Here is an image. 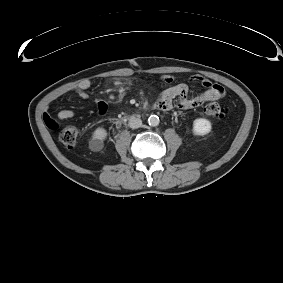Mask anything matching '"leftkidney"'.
I'll return each mask as SVG.
<instances>
[{
    "mask_svg": "<svg viewBox=\"0 0 283 283\" xmlns=\"http://www.w3.org/2000/svg\"><path fill=\"white\" fill-rule=\"evenodd\" d=\"M211 122L205 118H197L193 122V132L196 135H206L211 131Z\"/></svg>",
    "mask_w": 283,
    "mask_h": 283,
    "instance_id": "5707ae66",
    "label": "left kidney"
}]
</instances>
